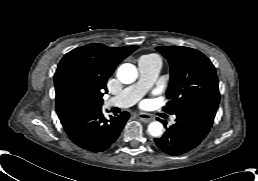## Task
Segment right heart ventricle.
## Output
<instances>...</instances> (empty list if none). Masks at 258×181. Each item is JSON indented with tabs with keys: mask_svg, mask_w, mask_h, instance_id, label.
Segmentation results:
<instances>
[{
	"mask_svg": "<svg viewBox=\"0 0 258 181\" xmlns=\"http://www.w3.org/2000/svg\"><path fill=\"white\" fill-rule=\"evenodd\" d=\"M149 57H154V55H146V56H143V57L140 58V60H141V59H144V58H149Z\"/></svg>",
	"mask_w": 258,
	"mask_h": 181,
	"instance_id": "e07e8e85",
	"label": "right heart ventricle"
}]
</instances>
